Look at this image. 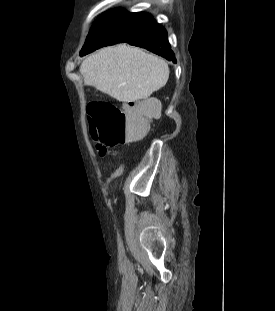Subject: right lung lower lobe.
I'll list each match as a JSON object with an SVG mask.
<instances>
[{"instance_id": "1", "label": "right lung lower lobe", "mask_w": 275, "mask_h": 311, "mask_svg": "<svg viewBox=\"0 0 275 311\" xmlns=\"http://www.w3.org/2000/svg\"><path fill=\"white\" fill-rule=\"evenodd\" d=\"M120 43L145 48L169 61L176 62L175 54L168 42L167 31L152 17L137 25Z\"/></svg>"}]
</instances>
